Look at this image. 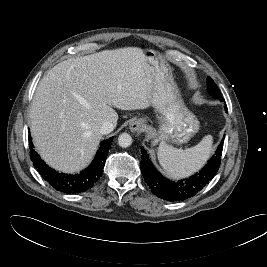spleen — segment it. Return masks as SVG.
<instances>
[{
    "label": "spleen",
    "mask_w": 267,
    "mask_h": 267,
    "mask_svg": "<svg viewBox=\"0 0 267 267\" xmlns=\"http://www.w3.org/2000/svg\"><path fill=\"white\" fill-rule=\"evenodd\" d=\"M212 144L211 135L204 136L197 145L184 150L162 142L158 147V160L169 176L187 177L206 163L212 151Z\"/></svg>",
    "instance_id": "3e777b00"
}]
</instances>
